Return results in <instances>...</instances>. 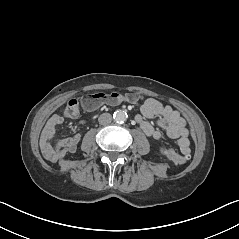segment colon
<instances>
[{
  "label": "colon",
  "instance_id": "5ec220e1",
  "mask_svg": "<svg viewBox=\"0 0 239 239\" xmlns=\"http://www.w3.org/2000/svg\"><path fill=\"white\" fill-rule=\"evenodd\" d=\"M139 98L140 96L136 93H127L123 95L117 92H111V93L96 92L83 98L81 102H79L76 99L70 100L64 110V114L69 118H75L79 115L81 106L84 108L98 107L104 103L115 105L123 101L136 102L139 100ZM168 157L175 164L185 163L188 159L187 156L180 155L179 153L173 150H170L168 152Z\"/></svg>",
  "mask_w": 239,
  "mask_h": 239
}]
</instances>
